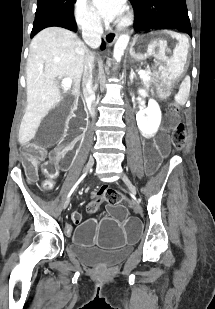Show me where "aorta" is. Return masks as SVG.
I'll return each mask as SVG.
<instances>
[{
	"mask_svg": "<svg viewBox=\"0 0 215 309\" xmlns=\"http://www.w3.org/2000/svg\"><path fill=\"white\" fill-rule=\"evenodd\" d=\"M130 40V36L129 34H120V36H118L116 42H115V46H114V50H113V56L114 58H116L117 62H119V60H121V56L128 44Z\"/></svg>",
	"mask_w": 215,
	"mask_h": 309,
	"instance_id": "aorta-1",
	"label": "aorta"
}]
</instances>
